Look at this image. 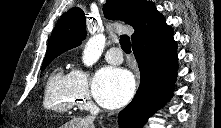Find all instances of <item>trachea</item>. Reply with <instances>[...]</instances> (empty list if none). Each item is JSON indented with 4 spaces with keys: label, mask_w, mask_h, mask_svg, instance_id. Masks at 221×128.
<instances>
[{
    "label": "trachea",
    "mask_w": 221,
    "mask_h": 128,
    "mask_svg": "<svg viewBox=\"0 0 221 128\" xmlns=\"http://www.w3.org/2000/svg\"><path fill=\"white\" fill-rule=\"evenodd\" d=\"M120 45L124 52L129 54L131 52V42L127 35H121Z\"/></svg>",
    "instance_id": "obj_1"
}]
</instances>
